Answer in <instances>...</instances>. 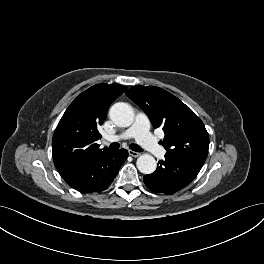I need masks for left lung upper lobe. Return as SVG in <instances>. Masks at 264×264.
Segmentation results:
<instances>
[{
    "mask_svg": "<svg viewBox=\"0 0 264 264\" xmlns=\"http://www.w3.org/2000/svg\"><path fill=\"white\" fill-rule=\"evenodd\" d=\"M126 94L144 110L154 128L163 129L165 137L161 143L168 154L203 166L209 136L203 122L189 107L159 87L134 86Z\"/></svg>",
    "mask_w": 264,
    "mask_h": 264,
    "instance_id": "1",
    "label": "left lung upper lobe"
}]
</instances>
